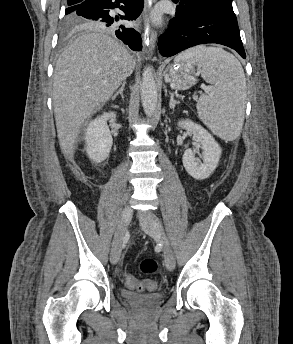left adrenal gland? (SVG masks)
Returning a JSON list of instances; mask_svg holds the SVG:
<instances>
[{
    "instance_id": "obj_1",
    "label": "left adrenal gland",
    "mask_w": 293,
    "mask_h": 344,
    "mask_svg": "<svg viewBox=\"0 0 293 344\" xmlns=\"http://www.w3.org/2000/svg\"><path fill=\"white\" fill-rule=\"evenodd\" d=\"M179 103H180L179 101H176V100L174 99V94L171 93L170 102H169L170 108L174 110L175 106H176L177 104H179Z\"/></svg>"
}]
</instances>
